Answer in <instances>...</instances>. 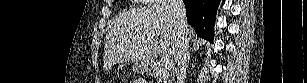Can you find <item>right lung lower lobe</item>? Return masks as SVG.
I'll list each match as a JSON object with an SVG mask.
<instances>
[{
	"mask_svg": "<svg viewBox=\"0 0 307 83\" xmlns=\"http://www.w3.org/2000/svg\"><path fill=\"white\" fill-rule=\"evenodd\" d=\"M219 3L220 0H184L188 22L199 37L211 42Z\"/></svg>",
	"mask_w": 307,
	"mask_h": 83,
	"instance_id": "1",
	"label": "right lung lower lobe"
}]
</instances>
